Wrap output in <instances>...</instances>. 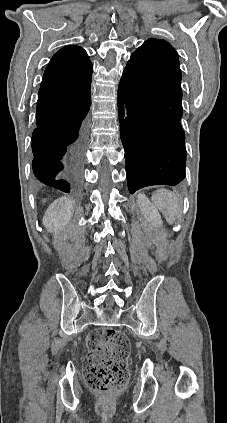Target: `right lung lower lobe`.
Here are the masks:
<instances>
[{"instance_id":"right-lung-lower-lobe-1","label":"right lung lower lobe","mask_w":227,"mask_h":423,"mask_svg":"<svg viewBox=\"0 0 227 423\" xmlns=\"http://www.w3.org/2000/svg\"><path fill=\"white\" fill-rule=\"evenodd\" d=\"M91 96L47 100L38 97L32 135V168L38 184L74 192L81 181L85 155V119Z\"/></svg>"}]
</instances>
